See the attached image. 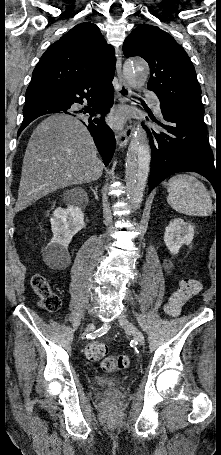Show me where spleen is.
I'll return each mask as SVG.
<instances>
[{"mask_svg":"<svg viewBox=\"0 0 221 455\" xmlns=\"http://www.w3.org/2000/svg\"><path fill=\"white\" fill-rule=\"evenodd\" d=\"M167 201L179 213L208 216L213 211L211 197L204 184L192 175L178 174L168 182Z\"/></svg>","mask_w":221,"mask_h":455,"instance_id":"3e777b00","label":"spleen"}]
</instances>
